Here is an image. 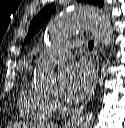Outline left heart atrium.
<instances>
[{"instance_id": "left-heart-atrium-1", "label": "left heart atrium", "mask_w": 125, "mask_h": 128, "mask_svg": "<svg viewBox=\"0 0 125 128\" xmlns=\"http://www.w3.org/2000/svg\"><path fill=\"white\" fill-rule=\"evenodd\" d=\"M93 81L94 73L88 63H70L61 71L60 95L67 102H78L88 94Z\"/></svg>"}]
</instances>
